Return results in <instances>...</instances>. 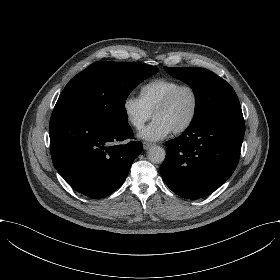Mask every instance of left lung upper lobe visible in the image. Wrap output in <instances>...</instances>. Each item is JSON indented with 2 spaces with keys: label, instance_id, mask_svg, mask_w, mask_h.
<instances>
[{
  "label": "left lung upper lobe",
  "instance_id": "5c2ea615",
  "mask_svg": "<svg viewBox=\"0 0 280 280\" xmlns=\"http://www.w3.org/2000/svg\"><path fill=\"white\" fill-rule=\"evenodd\" d=\"M164 69L173 77L190 85L194 91L195 112L190 125L215 114L241 108L234 89L212 71L193 67Z\"/></svg>",
  "mask_w": 280,
  "mask_h": 280
}]
</instances>
